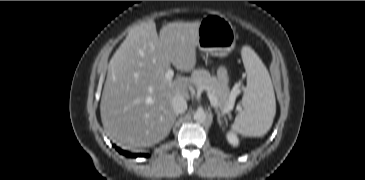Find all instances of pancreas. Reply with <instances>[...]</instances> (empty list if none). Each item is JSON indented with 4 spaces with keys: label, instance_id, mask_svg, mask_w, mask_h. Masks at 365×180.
<instances>
[{
    "label": "pancreas",
    "instance_id": "obj_1",
    "mask_svg": "<svg viewBox=\"0 0 365 180\" xmlns=\"http://www.w3.org/2000/svg\"><path fill=\"white\" fill-rule=\"evenodd\" d=\"M192 83L197 89H202L213 94L218 100V107L223 111L234 104L230 98L227 85L222 84L216 77L210 75L205 69H196L192 72Z\"/></svg>",
    "mask_w": 365,
    "mask_h": 180
}]
</instances>
